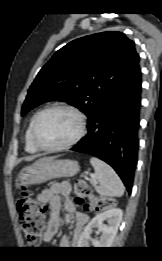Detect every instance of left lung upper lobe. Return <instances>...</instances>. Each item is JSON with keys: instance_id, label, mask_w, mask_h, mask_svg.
Returning <instances> with one entry per match:
<instances>
[{"instance_id": "left-lung-upper-lobe-1", "label": "left lung upper lobe", "mask_w": 162, "mask_h": 261, "mask_svg": "<svg viewBox=\"0 0 162 261\" xmlns=\"http://www.w3.org/2000/svg\"><path fill=\"white\" fill-rule=\"evenodd\" d=\"M139 68L135 43L117 31L76 39L58 50L28 90L21 115L48 100H65L88 119Z\"/></svg>"}]
</instances>
